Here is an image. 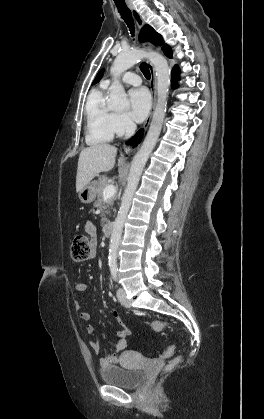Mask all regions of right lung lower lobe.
Returning a JSON list of instances; mask_svg holds the SVG:
<instances>
[{"label":"right lung lower lobe","instance_id":"obj_1","mask_svg":"<svg viewBox=\"0 0 264 419\" xmlns=\"http://www.w3.org/2000/svg\"><path fill=\"white\" fill-rule=\"evenodd\" d=\"M143 135V129H140L133 137L132 139L128 142V144L131 145H137L138 143H140L141 141V137Z\"/></svg>","mask_w":264,"mask_h":419}]
</instances>
